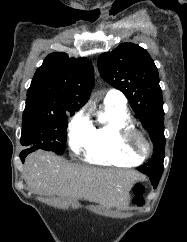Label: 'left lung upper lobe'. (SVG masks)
Instances as JSON below:
<instances>
[{
    "instance_id": "1",
    "label": "left lung upper lobe",
    "mask_w": 187,
    "mask_h": 242,
    "mask_svg": "<svg viewBox=\"0 0 187 242\" xmlns=\"http://www.w3.org/2000/svg\"><path fill=\"white\" fill-rule=\"evenodd\" d=\"M98 68L107 83L125 94L154 144L152 158L138 170L161 176L165 155L164 110L154 61L142 47L123 43L112 52L101 54Z\"/></svg>"
}]
</instances>
